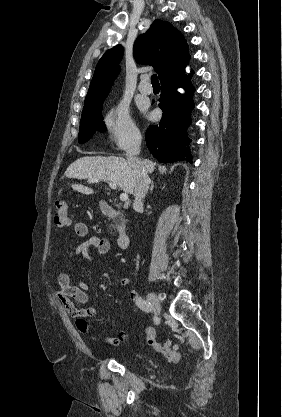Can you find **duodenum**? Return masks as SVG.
<instances>
[{
	"label": "duodenum",
	"instance_id": "obj_1",
	"mask_svg": "<svg viewBox=\"0 0 282 417\" xmlns=\"http://www.w3.org/2000/svg\"><path fill=\"white\" fill-rule=\"evenodd\" d=\"M102 212L105 216L110 217V218L119 217V212L114 207L110 206L108 203L102 204ZM117 241H118V246L120 249L122 250L128 249V245L130 241V236L128 232L125 230H119L118 235H117Z\"/></svg>",
	"mask_w": 282,
	"mask_h": 417
}]
</instances>
